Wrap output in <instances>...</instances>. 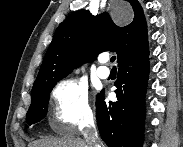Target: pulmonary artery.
<instances>
[{"instance_id":"1","label":"pulmonary artery","mask_w":183,"mask_h":147,"mask_svg":"<svg viewBox=\"0 0 183 147\" xmlns=\"http://www.w3.org/2000/svg\"><path fill=\"white\" fill-rule=\"evenodd\" d=\"M108 61V58L106 55H102L99 57V62L101 66L97 69V74L100 78L106 79L110 75V69L105 66V63Z\"/></svg>"}]
</instances>
